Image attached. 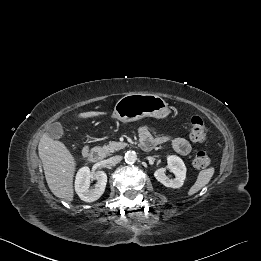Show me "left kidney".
Instances as JSON below:
<instances>
[{"mask_svg":"<svg viewBox=\"0 0 261 261\" xmlns=\"http://www.w3.org/2000/svg\"><path fill=\"white\" fill-rule=\"evenodd\" d=\"M167 168L175 175L174 179H170L166 176V168H160L155 171V178L166 187L180 188L182 187L186 178V166L183 160L175 155L167 157Z\"/></svg>","mask_w":261,"mask_h":261,"instance_id":"5707ae66","label":"left kidney"}]
</instances>
